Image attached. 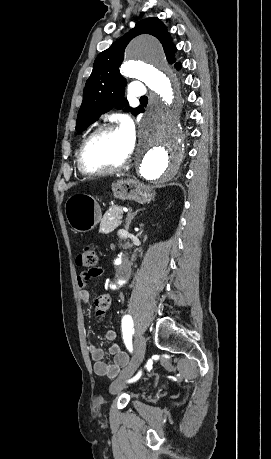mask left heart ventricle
Instances as JSON below:
<instances>
[{
    "label": "left heart ventricle",
    "mask_w": 271,
    "mask_h": 459,
    "mask_svg": "<svg viewBox=\"0 0 271 459\" xmlns=\"http://www.w3.org/2000/svg\"><path fill=\"white\" fill-rule=\"evenodd\" d=\"M131 152L128 141L120 130L94 138L85 151L86 160L92 165L113 163Z\"/></svg>",
    "instance_id": "obj_1"
}]
</instances>
